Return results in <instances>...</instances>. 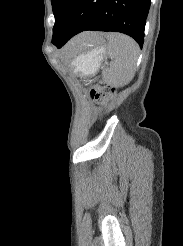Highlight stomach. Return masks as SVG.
<instances>
[{
  "label": "stomach",
  "instance_id": "obj_1",
  "mask_svg": "<svg viewBox=\"0 0 183 246\" xmlns=\"http://www.w3.org/2000/svg\"><path fill=\"white\" fill-rule=\"evenodd\" d=\"M84 52L72 60L74 72L82 75L93 74L97 71L106 54L103 40L83 48Z\"/></svg>",
  "mask_w": 183,
  "mask_h": 246
}]
</instances>
